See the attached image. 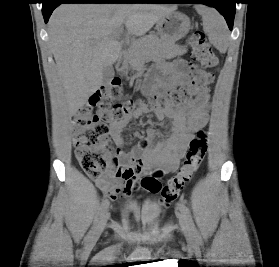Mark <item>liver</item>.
I'll return each mask as SVG.
<instances>
[{
	"label": "liver",
	"mask_w": 279,
	"mask_h": 267,
	"mask_svg": "<svg viewBox=\"0 0 279 267\" xmlns=\"http://www.w3.org/2000/svg\"><path fill=\"white\" fill-rule=\"evenodd\" d=\"M176 6L155 4H63L52 13L49 43L62 80L69 115H74L102 85L103 68L115 63L123 43L113 33L145 35Z\"/></svg>",
	"instance_id": "obj_1"
}]
</instances>
